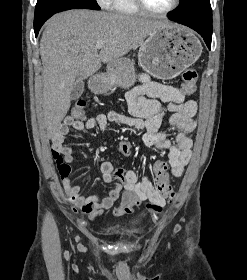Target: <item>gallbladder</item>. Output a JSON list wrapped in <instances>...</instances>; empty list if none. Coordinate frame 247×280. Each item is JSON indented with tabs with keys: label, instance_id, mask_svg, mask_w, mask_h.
Instances as JSON below:
<instances>
[{
	"label": "gallbladder",
	"instance_id": "obj_1",
	"mask_svg": "<svg viewBox=\"0 0 247 280\" xmlns=\"http://www.w3.org/2000/svg\"><path fill=\"white\" fill-rule=\"evenodd\" d=\"M84 92V82L82 80H76L72 90L70 98L71 100L78 99Z\"/></svg>",
	"mask_w": 247,
	"mask_h": 280
}]
</instances>
